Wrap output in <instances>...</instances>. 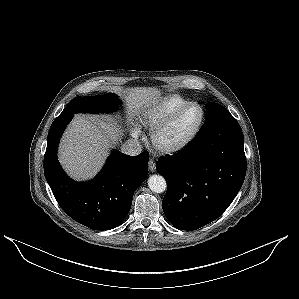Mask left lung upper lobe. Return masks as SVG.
Segmentation results:
<instances>
[{"label":"left lung upper lobe","instance_id":"1","mask_svg":"<svg viewBox=\"0 0 299 299\" xmlns=\"http://www.w3.org/2000/svg\"><path fill=\"white\" fill-rule=\"evenodd\" d=\"M229 115L231 114L222 105L213 102L207 103L205 123L200 128L196 137L202 135L207 129L215 125L222 118L227 117Z\"/></svg>","mask_w":299,"mask_h":299}]
</instances>
